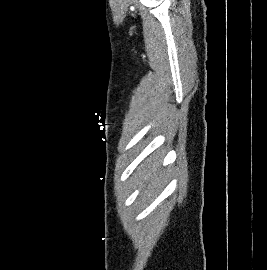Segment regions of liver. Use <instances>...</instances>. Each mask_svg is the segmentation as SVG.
Here are the masks:
<instances>
[{
	"mask_svg": "<svg viewBox=\"0 0 267 270\" xmlns=\"http://www.w3.org/2000/svg\"><path fill=\"white\" fill-rule=\"evenodd\" d=\"M161 156H151L145 159L137 168L135 178L141 194L149 197L157 194L166 182L167 171L161 168Z\"/></svg>",
	"mask_w": 267,
	"mask_h": 270,
	"instance_id": "1",
	"label": "liver"
}]
</instances>
